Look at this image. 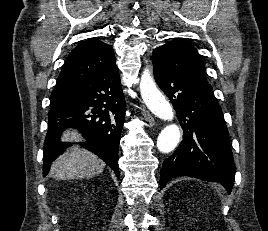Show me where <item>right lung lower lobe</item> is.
Here are the masks:
<instances>
[{"mask_svg":"<svg viewBox=\"0 0 268 231\" xmlns=\"http://www.w3.org/2000/svg\"><path fill=\"white\" fill-rule=\"evenodd\" d=\"M125 109L116 62L78 86L72 99L51 106L44 142L43 176L47 175L50 164L66 146L59 141L61 132L73 127L87 139L81 145L105 161L119 178L118 148Z\"/></svg>","mask_w":268,"mask_h":231,"instance_id":"98d812e1","label":"right lung lower lobe"}]
</instances>
